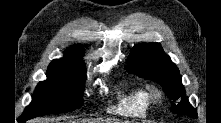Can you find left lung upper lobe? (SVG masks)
<instances>
[{"instance_id":"1","label":"left lung upper lobe","mask_w":221,"mask_h":123,"mask_svg":"<svg viewBox=\"0 0 221 123\" xmlns=\"http://www.w3.org/2000/svg\"><path fill=\"white\" fill-rule=\"evenodd\" d=\"M126 70L159 83L168 98L176 101L170 108L172 112L179 115H196L185 96L178 68L159 43L135 46L127 59Z\"/></svg>"}]
</instances>
